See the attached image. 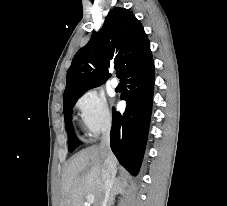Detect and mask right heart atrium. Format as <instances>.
I'll use <instances>...</instances> for the list:
<instances>
[{"instance_id": "obj_1", "label": "right heart atrium", "mask_w": 227, "mask_h": 206, "mask_svg": "<svg viewBox=\"0 0 227 206\" xmlns=\"http://www.w3.org/2000/svg\"><path fill=\"white\" fill-rule=\"evenodd\" d=\"M80 120L88 135L95 137L111 126L112 116L105 97L96 90H87L76 102Z\"/></svg>"}]
</instances>
